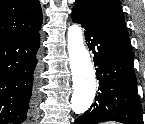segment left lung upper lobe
Here are the masks:
<instances>
[{
	"label": "left lung upper lobe",
	"instance_id": "left-lung-upper-lobe-1",
	"mask_svg": "<svg viewBox=\"0 0 145 124\" xmlns=\"http://www.w3.org/2000/svg\"><path fill=\"white\" fill-rule=\"evenodd\" d=\"M73 12L126 45L129 40L119 0H76Z\"/></svg>",
	"mask_w": 145,
	"mask_h": 124
}]
</instances>
